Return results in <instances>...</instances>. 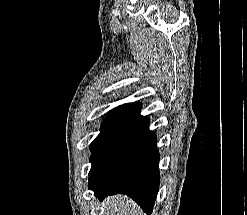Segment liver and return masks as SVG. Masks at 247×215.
Returning <instances> with one entry per match:
<instances>
[{
	"label": "liver",
	"instance_id": "obj_1",
	"mask_svg": "<svg viewBox=\"0 0 247 215\" xmlns=\"http://www.w3.org/2000/svg\"><path fill=\"white\" fill-rule=\"evenodd\" d=\"M106 204L111 215H141L140 208L122 195L108 198Z\"/></svg>",
	"mask_w": 247,
	"mask_h": 215
}]
</instances>
